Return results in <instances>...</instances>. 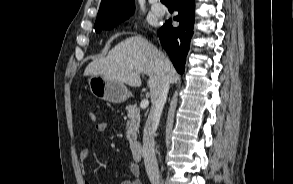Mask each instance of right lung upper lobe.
<instances>
[{"label":"right lung upper lobe","mask_w":293,"mask_h":184,"mask_svg":"<svg viewBox=\"0 0 293 184\" xmlns=\"http://www.w3.org/2000/svg\"><path fill=\"white\" fill-rule=\"evenodd\" d=\"M134 0H102L95 24L110 23L133 14Z\"/></svg>","instance_id":"right-lung-upper-lobe-1"}]
</instances>
